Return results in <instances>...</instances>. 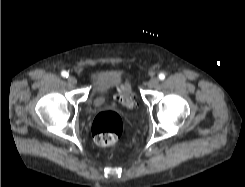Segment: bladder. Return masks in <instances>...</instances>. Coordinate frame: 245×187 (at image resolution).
Listing matches in <instances>:
<instances>
[{
  "label": "bladder",
  "mask_w": 245,
  "mask_h": 187,
  "mask_svg": "<svg viewBox=\"0 0 245 187\" xmlns=\"http://www.w3.org/2000/svg\"><path fill=\"white\" fill-rule=\"evenodd\" d=\"M122 83V76L119 73H109L103 80L98 84L100 89L110 90Z\"/></svg>",
  "instance_id": "1"
}]
</instances>
